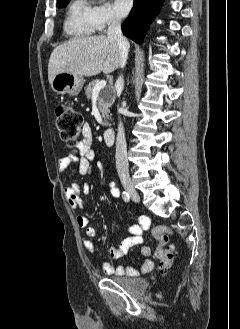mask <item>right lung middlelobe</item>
Masks as SVG:
<instances>
[{
  "mask_svg": "<svg viewBox=\"0 0 240 329\" xmlns=\"http://www.w3.org/2000/svg\"><path fill=\"white\" fill-rule=\"evenodd\" d=\"M70 0H60L58 1V3L60 4L61 7H65L66 4L69 2Z\"/></svg>",
  "mask_w": 240,
  "mask_h": 329,
  "instance_id": "right-lung-middle-lobe-1",
  "label": "right lung middle lobe"
}]
</instances>
